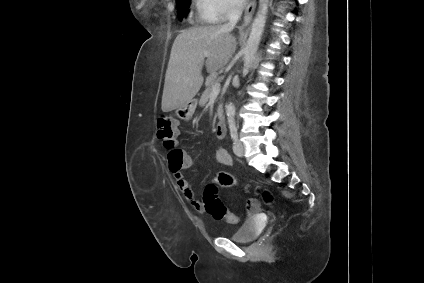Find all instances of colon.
Returning a JSON list of instances; mask_svg holds the SVG:
<instances>
[{"mask_svg": "<svg viewBox=\"0 0 424 283\" xmlns=\"http://www.w3.org/2000/svg\"><path fill=\"white\" fill-rule=\"evenodd\" d=\"M157 136L168 151L169 168L171 172H177L189 166L187 154L177 147L178 127L177 120L172 115H164L157 120ZM239 184V180L227 172H219L214 180L209 183L203 193V205L205 211L216 220H226L230 224L238 221L236 215L230 213L218 197L219 187L231 188ZM266 202L272 201L269 192H263ZM248 210L253 212L258 207L255 200L248 201Z\"/></svg>", "mask_w": 424, "mask_h": 283, "instance_id": "obj_1", "label": "colon"}]
</instances>
